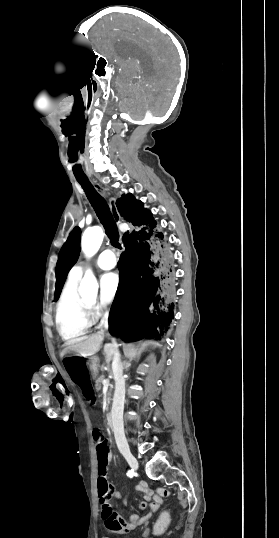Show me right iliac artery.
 Here are the masks:
<instances>
[{"instance_id":"1","label":"right iliac artery","mask_w":279,"mask_h":538,"mask_svg":"<svg viewBox=\"0 0 279 538\" xmlns=\"http://www.w3.org/2000/svg\"><path fill=\"white\" fill-rule=\"evenodd\" d=\"M127 475H128L130 478H132V477L134 476V471H133V469H132V470H129V471L127 472Z\"/></svg>"}]
</instances>
